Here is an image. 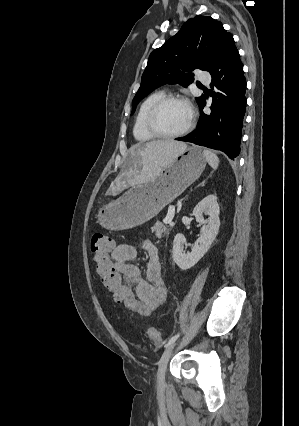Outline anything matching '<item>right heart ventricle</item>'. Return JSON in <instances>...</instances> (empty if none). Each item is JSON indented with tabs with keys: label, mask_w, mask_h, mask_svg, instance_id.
<instances>
[{
	"label": "right heart ventricle",
	"mask_w": 299,
	"mask_h": 426,
	"mask_svg": "<svg viewBox=\"0 0 299 426\" xmlns=\"http://www.w3.org/2000/svg\"><path fill=\"white\" fill-rule=\"evenodd\" d=\"M165 96V91L157 90L150 93L140 104L134 126L133 135L136 140L141 142H148L154 140L156 137L152 135L146 126V118L151 107L162 97Z\"/></svg>",
	"instance_id": "right-heart-ventricle-1"
}]
</instances>
